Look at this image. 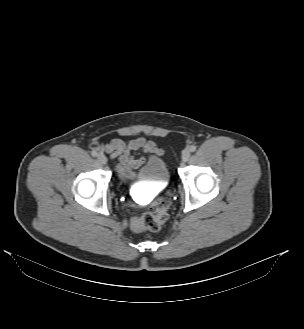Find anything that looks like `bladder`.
Listing matches in <instances>:
<instances>
[{
	"label": "bladder",
	"mask_w": 304,
	"mask_h": 329,
	"mask_svg": "<svg viewBox=\"0 0 304 329\" xmlns=\"http://www.w3.org/2000/svg\"><path fill=\"white\" fill-rule=\"evenodd\" d=\"M139 176L142 181L168 182L170 179L169 169L160 156H150L139 167Z\"/></svg>",
	"instance_id": "31cf9c89"
}]
</instances>
